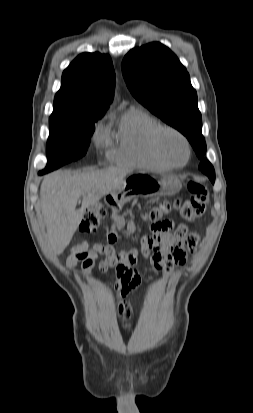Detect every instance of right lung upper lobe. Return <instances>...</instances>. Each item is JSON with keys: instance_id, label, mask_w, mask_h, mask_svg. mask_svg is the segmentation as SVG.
Wrapping results in <instances>:
<instances>
[{"instance_id": "right-lung-upper-lobe-1", "label": "right lung upper lobe", "mask_w": 253, "mask_h": 413, "mask_svg": "<svg viewBox=\"0 0 253 413\" xmlns=\"http://www.w3.org/2000/svg\"><path fill=\"white\" fill-rule=\"evenodd\" d=\"M114 88L111 58L98 52L82 53L63 72L51 117H102Z\"/></svg>"}]
</instances>
